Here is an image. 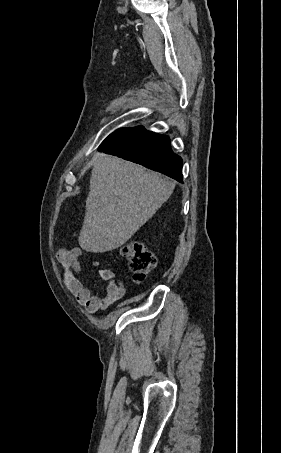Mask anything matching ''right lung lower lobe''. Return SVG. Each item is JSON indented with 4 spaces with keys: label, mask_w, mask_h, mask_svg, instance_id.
<instances>
[{
    "label": "right lung lower lobe",
    "mask_w": 281,
    "mask_h": 453,
    "mask_svg": "<svg viewBox=\"0 0 281 453\" xmlns=\"http://www.w3.org/2000/svg\"><path fill=\"white\" fill-rule=\"evenodd\" d=\"M98 150L141 164L182 182V159L173 153L169 137L147 131L143 126L113 132Z\"/></svg>",
    "instance_id": "1"
}]
</instances>
